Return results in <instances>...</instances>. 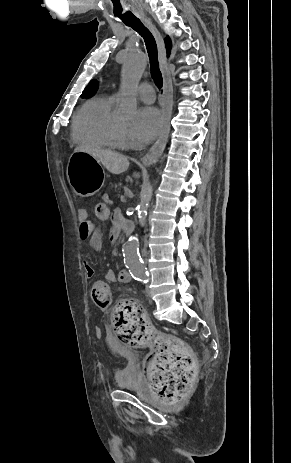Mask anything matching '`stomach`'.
<instances>
[{
	"mask_svg": "<svg viewBox=\"0 0 291 463\" xmlns=\"http://www.w3.org/2000/svg\"><path fill=\"white\" fill-rule=\"evenodd\" d=\"M68 181L77 195L95 194L102 183L100 162L86 152H73L67 165Z\"/></svg>",
	"mask_w": 291,
	"mask_h": 463,
	"instance_id": "obj_1",
	"label": "stomach"
}]
</instances>
